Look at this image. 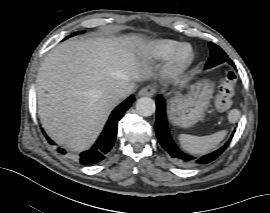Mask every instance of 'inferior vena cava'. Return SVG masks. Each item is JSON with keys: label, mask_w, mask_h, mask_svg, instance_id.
Returning <instances> with one entry per match:
<instances>
[{"label": "inferior vena cava", "mask_w": 270, "mask_h": 213, "mask_svg": "<svg viewBox=\"0 0 270 213\" xmlns=\"http://www.w3.org/2000/svg\"><path fill=\"white\" fill-rule=\"evenodd\" d=\"M129 93L128 87H117L111 91L112 98L119 100L125 97Z\"/></svg>", "instance_id": "obj_1"}]
</instances>
